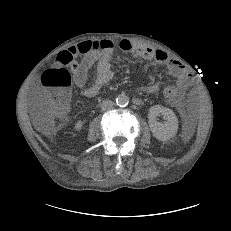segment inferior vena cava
I'll list each match as a JSON object with an SVG mask.
<instances>
[{"label": "inferior vena cava", "instance_id": "obj_1", "mask_svg": "<svg viewBox=\"0 0 231 231\" xmlns=\"http://www.w3.org/2000/svg\"><path fill=\"white\" fill-rule=\"evenodd\" d=\"M114 107V102L111 100H105L101 103V109L103 111L110 110Z\"/></svg>", "mask_w": 231, "mask_h": 231}]
</instances>
